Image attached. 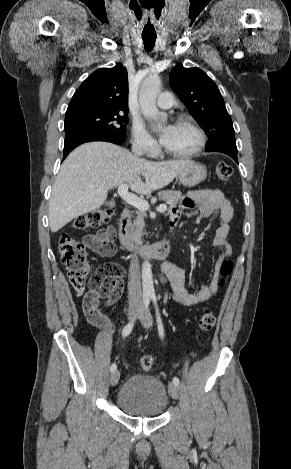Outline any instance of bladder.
<instances>
[{
	"label": "bladder",
	"mask_w": 291,
	"mask_h": 469,
	"mask_svg": "<svg viewBox=\"0 0 291 469\" xmlns=\"http://www.w3.org/2000/svg\"><path fill=\"white\" fill-rule=\"evenodd\" d=\"M116 402L126 414L154 417L164 413L169 395L164 383L146 374H133L121 385Z\"/></svg>",
	"instance_id": "obj_1"
}]
</instances>
